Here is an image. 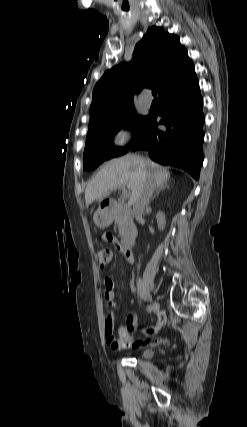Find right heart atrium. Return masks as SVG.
<instances>
[{"label":"right heart atrium","instance_id":"1","mask_svg":"<svg viewBox=\"0 0 247 427\" xmlns=\"http://www.w3.org/2000/svg\"><path fill=\"white\" fill-rule=\"evenodd\" d=\"M137 137L133 126L127 125L118 129L112 136V144L117 148H126L131 145Z\"/></svg>","mask_w":247,"mask_h":427}]
</instances>
